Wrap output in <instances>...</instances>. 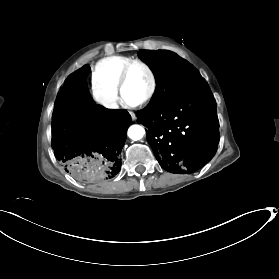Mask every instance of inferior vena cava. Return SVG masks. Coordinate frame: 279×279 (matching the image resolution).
Wrapping results in <instances>:
<instances>
[{
	"label": "inferior vena cava",
	"instance_id": "1",
	"mask_svg": "<svg viewBox=\"0 0 279 279\" xmlns=\"http://www.w3.org/2000/svg\"><path fill=\"white\" fill-rule=\"evenodd\" d=\"M105 107H107V108H118V105L116 104L115 99H108L105 102Z\"/></svg>",
	"mask_w": 279,
	"mask_h": 279
}]
</instances>
